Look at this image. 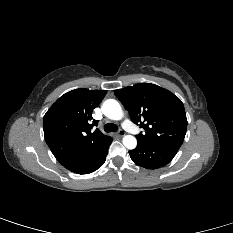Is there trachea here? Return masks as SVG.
<instances>
[{
  "mask_svg": "<svg viewBox=\"0 0 233 233\" xmlns=\"http://www.w3.org/2000/svg\"><path fill=\"white\" fill-rule=\"evenodd\" d=\"M104 130L105 132H116L118 130V126L113 123H107Z\"/></svg>",
  "mask_w": 233,
  "mask_h": 233,
  "instance_id": "1",
  "label": "trachea"
}]
</instances>
